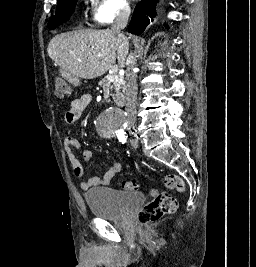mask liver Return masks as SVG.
<instances>
[{"instance_id":"obj_1","label":"liver","mask_w":256,"mask_h":267,"mask_svg":"<svg viewBox=\"0 0 256 267\" xmlns=\"http://www.w3.org/2000/svg\"><path fill=\"white\" fill-rule=\"evenodd\" d=\"M128 40L119 38L112 30H81L58 34L49 42V58L68 72L72 78H98L110 68H125Z\"/></svg>"}]
</instances>
